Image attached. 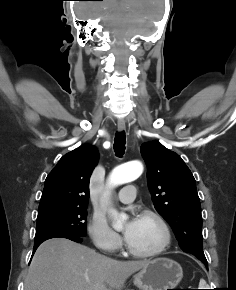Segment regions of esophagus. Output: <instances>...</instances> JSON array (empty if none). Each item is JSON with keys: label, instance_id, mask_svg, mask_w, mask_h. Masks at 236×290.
Instances as JSON below:
<instances>
[{"label": "esophagus", "instance_id": "obj_1", "mask_svg": "<svg viewBox=\"0 0 236 290\" xmlns=\"http://www.w3.org/2000/svg\"><path fill=\"white\" fill-rule=\"evenodd\" d=\"M117 127H118V130L120 132L125 130V128H126L125 121L123 119H119L118 122H117Z\"/></svg>", "mask_w": 236, "mask_h": 290}]
</instances>
